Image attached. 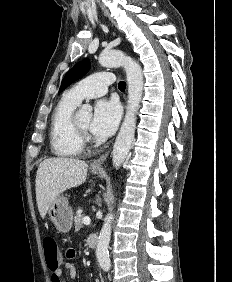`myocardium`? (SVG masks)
<instances>
[{
	"label": "myocardium",
	"mask_w": 232,
	"mask_h": 282,
	"mask_svg": "<svg viewBox=\"0 0 232 282\" xmlns=\"http://www.w3.org/2000/svg\"><path fill=\"white\" fill-rule=\"evenodd\" d=\"M72 125L77 137L82 141V143H86L91 140L89 130L81 126L76 113H73L72 115Z\"/></svg>",
	"instance_id": "f54148a6"
}]
</instances>
